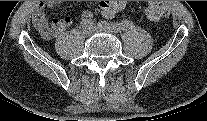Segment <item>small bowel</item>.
Segmentation results:
<instances>
[{
    "label": "small bowel",
    "mask_w": 207,
    "mask_h": 121,
    "mask_svg": "<svg viewBox=\"0 0 207 121\" xmlns=\"http://www.w3.org/2000/svg\"><path fill=\"white\" fill-rule=\"evenodd\" d=\"M56 5L57 3L55 1L40 2L33 10V25L44 40H50L58 36L69 27L72 22L69 16L54 19L51 23L48 22L46 9L54 8ZM100 6L104 17L113 18L119 11L123 10L125 3L123 1H103Z\"/></svg>",
    "instance_id": "1"
}]
</instances>
